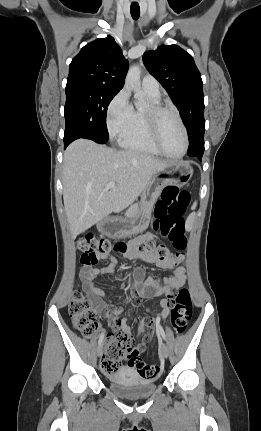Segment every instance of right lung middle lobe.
<instances>
[{
  "label": "right lung middle lobe",
  "instance_id": "right-lung-middle-lobe-1",
  "mask_svg": "<svg viewBox=\"0 0 261 431\" xmlns=\"http://www.w3.org/2000/svg\"><path fill=\"white\" fill-rule=\"evenodd\" d=\"M118 92L89 81H67L64 141L86 138L106 143L109 138L107 108Z\"/></svg>",
  "mask_w": 261,
  "mask_h": 431
}]
</instances>
